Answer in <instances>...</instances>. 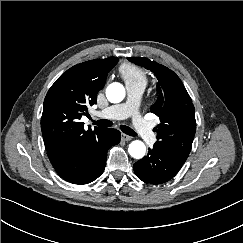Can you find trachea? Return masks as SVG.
Wrapping results in <instances>:
<instances>
[{
    "instance_id": "trachea-1",
    "label": "trachea",
    "mask_w": 243,
    "mask_h": 243,
    "mask_svg": "<svg viewBox=\"0 0 243 243\" xmlns=\"http://www.w3.org/2000/svg\"><path fill=\"white\" fill-rule=\"evenodd\" d=\"M93 124L97 125L98 127H110L112 125V122L110 120H98V121H92ZM121 130L129 135V136H136V133L130 128L127 127L126 125H121L120 126Z\"/></svg>"
}]
</instances>
